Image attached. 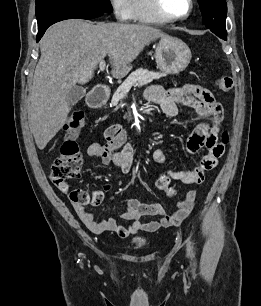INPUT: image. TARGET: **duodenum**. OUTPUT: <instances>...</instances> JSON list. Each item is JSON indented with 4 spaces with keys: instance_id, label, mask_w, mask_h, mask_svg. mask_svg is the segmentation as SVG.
Instances as JSON below:
<instances>
[{
    "instance_id": "410a0bca",
    "label": "duodenum",
    "mask_w": 261,
    "mask_h": 306,
    "mask_svg": "<svg viewBox=\"0 0 261 306\" xmlns=\"http://www.w3.org/2000/svg\"><path fill=\"white\" fill-rule=\"evenodd\" d=\"M109 96V87L104 84L97 85L88 95L87 103L91 108L102 106Z\"/></svg>"
}]
</instances>
